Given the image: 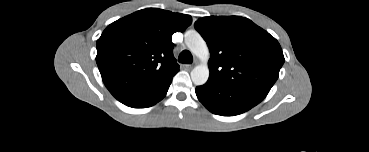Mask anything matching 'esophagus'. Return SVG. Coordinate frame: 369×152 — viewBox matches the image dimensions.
<instances>
[{"label": "esophagus", "instance_id": "34e87169", "mask_svg": "<svg viewBox=\"0 0 369 152\" xmlns=\"http://www.w3.org/2000/svg\"><path fill=\"white\" fill-rule=\"evenodd\" d=\"M196 64H197V62H193L192 64L186 65V68L187 69H192Z\"/></svg>", "mask_w": 369, "mask_h": 152}]
</instances>
